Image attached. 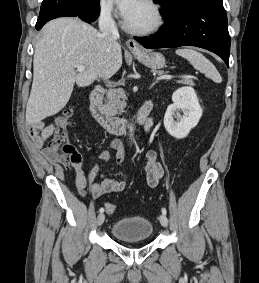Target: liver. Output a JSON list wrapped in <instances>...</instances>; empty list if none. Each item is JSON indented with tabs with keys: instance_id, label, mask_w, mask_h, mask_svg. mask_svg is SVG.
<instances>
[{
	"instance_id": "liver-1",
	"label": "liver",
	"mask_w": 259,
	"mask_h": 283,
	"mask_svg": "<svg viewBox=\"0 0 259 283\" xmlns=\"http://www.w3.org/2000/svg\"><path fill=\"white\" fill-rule=\"evenodd\" d=\"M74 65L85 70L77 73ZM121 65L119 43L109 49L91 25L69 17L48 22L35 45L26 122L37 124L57 114L68 103L75 84L87 87L98 78H110Z\"/></svg>"
}]
</instances>
